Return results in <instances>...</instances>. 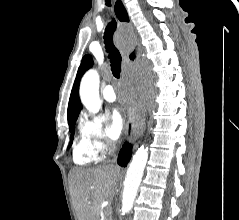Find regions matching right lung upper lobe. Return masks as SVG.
Here are the masks:
<instances>
[{
	"mask_svg": "<svg viewBox=\"0 0 239 220\" xmlns=\"http://www.w3.org/2000/svg\"><path fill=\"white\" fill-rule=\"evenodd\" d=\"M93 65V61L89 55L83 57L82 62L78 68L77 76L73 84V88L71 91L68 110H67V118L68 122L75 120L78 118L80 110L82 109V105L79 98V84L81 77L83 74L91 68Z\"/></svg>",
	"mask_w": 239,
	"mask_h": 220,
	"instance_id": "1",
	"label": "right lung upper lobe"
}]
</instances>
